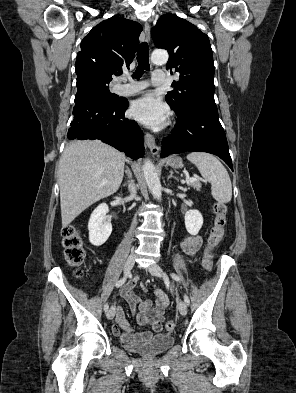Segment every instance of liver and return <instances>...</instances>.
Returning a JSON list of instances; mask_svg holds the SVG:
<instances>
[{"label":"liver","instance_id":"6515ba94","mask_svg":"<svg viewBox=\"0 0 296 393\" xmlns=\"http://www.w3.org/2000/svg\"><path fill=\"white\" fill-rule=\"evenodd\" d=\"M124 163L123 153L99 140L73 141L65 147L58 168L64 228L89 206L119 189Z\"/></svg>","mask_w":296,"mask_h":393}]
</instances>
